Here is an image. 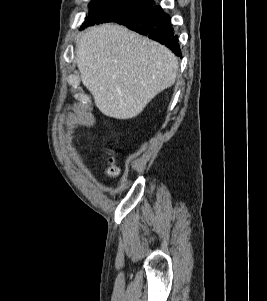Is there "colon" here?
I'll return each instance as SVG.
<instances>
[{"instance_id": "5ec220e1", "label": "colon", "mask_w": 267, "mask_h": 301, "mask_svg": "<svg viewBox=\"0 0 267 301\" xmlns=\"http://www.w3.org/2000/svg\"><path fill=\"white\" fill-rule=\"evenodd\" d=\"M108 168H107V171H108V174L112 177L116 176L119 172L117 166L114 164V160L112 158H109L108 160Z\"/></svg>"}]
</instances>
